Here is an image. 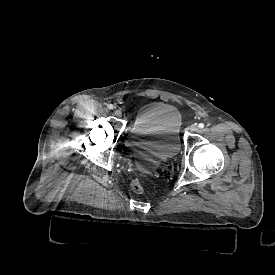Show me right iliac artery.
<instances>
[{
	"mask_svg": "<svg viewBox=\"0 0 275 275\" xmlns=\"http://www.w3.org/2000/svg\"><path fill=\"white\" fill-rule=\"evenodd\" d=\"M108 108H109V109H113L114 106H113L112 104H109V105H108Z\"/></svg>",
	"mask_w": 275,
	"mask_h": 275,
	"instance_id": "right-iliac-artery-1",
	"label": "right iliac artery"
}]
</instances>
